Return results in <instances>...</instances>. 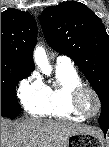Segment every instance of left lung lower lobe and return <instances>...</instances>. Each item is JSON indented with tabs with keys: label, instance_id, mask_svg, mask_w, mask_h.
<instances>
[{
	"label": "left lung lower lobe",
	"instance_id": "0a47b994",
	"mask_svg": "<svg viewBox=\"0 0 109 147\" xmlns=\"http://www.w3.org/2000/svg\"><path fill=\"white\" fill-rule=\"evenodd\" d=\"M100 127H101V129L103 130V132H104V135L107 133V131L109 130V125H101L100 124Z\"/></svg>",
	"mask_w": 109,
	"mask_h": 147
}]
</instances>
